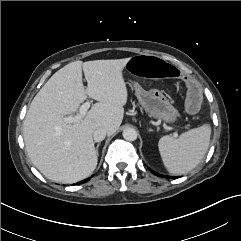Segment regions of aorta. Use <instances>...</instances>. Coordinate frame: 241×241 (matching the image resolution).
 Returning <instances> with one entry per match:
<instances>
[{"mask_svg":"<svg viewBox=\"0 0 241 241\" xmlns=\"http://www.w3.org/2000/svg\"><path fill=\"white\" fill-rule=\"evenodd\" d=\"M123 138L127 141H135L137 139V131L133 128H126L123 130Z\"/></svg>","mask_w":241,"mask_h":241,"instance_id":"1","label":"aorta"}]
</instances>
